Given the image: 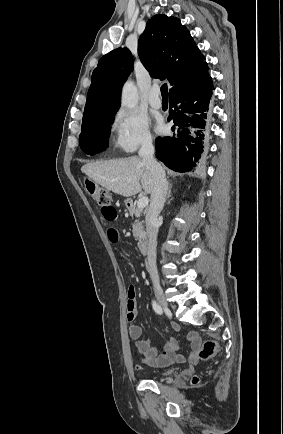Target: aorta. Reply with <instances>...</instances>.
<instances>
[{"mask_svg":"<svg viewBox=\"0 0 283 434\" xmlns=\"http://www.w3.org/2000/svg\"><path fill=\"white\" fill-rule=\"evenodd\" d=\"M138 102V92L134 83L127 81L122 89L121 104L126 109H133Z\"/></svg>","mask_w":283,"mask_h":434,"instance_id":"762f6f07","label":"aorta"}]
</instances>
